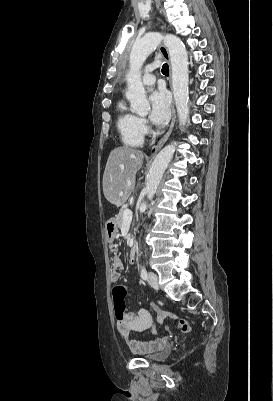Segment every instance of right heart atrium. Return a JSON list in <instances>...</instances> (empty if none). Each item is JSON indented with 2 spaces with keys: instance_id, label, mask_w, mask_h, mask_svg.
<instances>
[{
  "instance_id": "d8ad5b80",
  "label": "right heart atrium",
  "mask_w": 273,
  "mask_h": 401,
  "mask_svg": "<svg viewBox=\"0 0 273 401\" xmlns=\"http://www.w3.org/2000/svg\"><path fill=\"white\" fill-rule=\"evenodd\" d=\"M139 125H140V128H141L143 134L149 133L148 123L145 118H139Z\"/></svg>"
}]
</instances>
